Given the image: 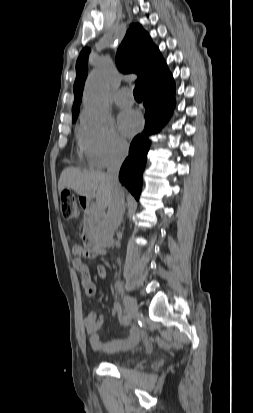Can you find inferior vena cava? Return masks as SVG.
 Masks as SVG:
<instances>
[{
  "mask_svg": "<svg viewBox=\"0 0 253 413\" xmlns=\"http://www.w3.org/2000/svg\"><path fill=\"white\" fill-rule=\"evenodd\" d=\"M128 154L127 145H119L114 152L110 164L107 168L106 177L110 181L114 190L113 202L108 207V211L104 219L102 220L99 229L98 236L101 243L104 246L110 247L113 245V234L120 225L123 214L125 212L124 193L119 183L118 175L120 167ZM119 291H122V283H117Z\"/></svg>",
  "mask_w": 253,
  "mask_h": 413,
  "instance_id": "1",
  "label": "inferior vena cava"
}]
</instances>
